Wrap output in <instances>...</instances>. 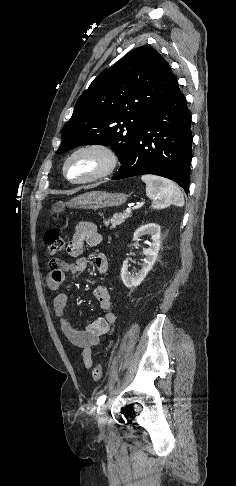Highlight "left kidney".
<instances>
[{
  "instance_id": "obj_1",
  "label": "left kidney",
  "mask_w": 236,
  "mask_h": 486,
  "mask_svg": "<svg viewBox=\"0 0 236 486\" xmlns=\"http://www.w3.org/2000/svg\"><path fill=\"white\" fill-rule=\"evenodd\" d=\"M146 234L151 236L152 242L148 249L143 250L145 259L141 270L138 273H136V275L133 276L128 270L129 268L128 260H125L123 262L121 268V278L124 285L128 288L139 286L142 283V281L145 279L148 272L152 269L157 259L158 252L160 249V244H161L160 226L155 223H148L146 225L139 227L134 233L133 241H137L141 236Z\"/></svg>"
}]
</instances>
